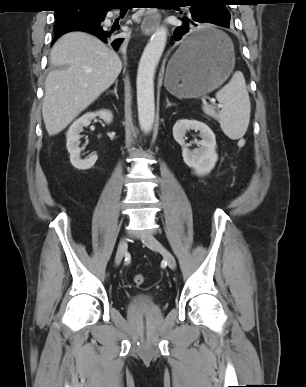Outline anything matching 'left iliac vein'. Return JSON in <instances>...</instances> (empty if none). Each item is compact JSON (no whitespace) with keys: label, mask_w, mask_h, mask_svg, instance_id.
Returning a JSON list of instances; mask_svg holds the SVG:
<instances>
[{"label":"left iliac vein","mask_w":306,"mask_h":387,"mask_svg":"<svg viewBox=\"0 0 306 387\" xmlns=\"http://www.w3.org/2000/svg\"><path fill=\"white\" fill-rule=\"evenodd\" d=\"M144 244L148 248L158 251L163 256L169 268L172 270L176 268V260L172 253L167 250L154 236H146L144 239Z\"/></svg>","instance_id":"obj_1"}]
</instances>
